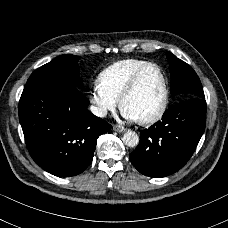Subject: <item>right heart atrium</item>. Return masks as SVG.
Masks as SVG:
<instances>
[{"mask_svg":"<svg viewBox=\"0 0 228 228\" xmlns=\"http://www.w3.org/2000/svg\"><path fill=\"white\" fill-rule=\"evenodd\" d=\"M90 101L96 113L102 117L114 110L118 105V101L100 90L97 82L92 86Z\"/></svg>","mask_w":228,"mask_h":228,"instance_id":"right-heart-atrium-1","label":"right heart atrium"}]
</instances>
